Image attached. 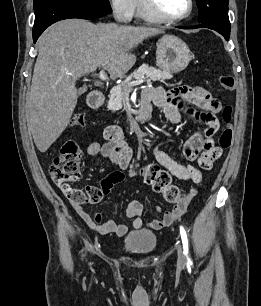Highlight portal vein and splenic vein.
<instances>
[{"instance_id": "18ae733b", "label": "portal vein and splenic vein", "mask_w": 261, "mask_h": 306, "mask_svg": "<svg viewBox=\"0 0 261 306\" xmlns=\"http://www.w3.org/2000/svg\"><path fill=\"white\" fill-rule=\"evenodd\" d=\"M93 76L102 80V81H107L108 80V76L106 75V73L103 69L99 72V74H94ZM142 83H143V80H137V81H133V82L128 83V86L129 87L137 86V85H140Z\"/></svg>"}]
</instances>
